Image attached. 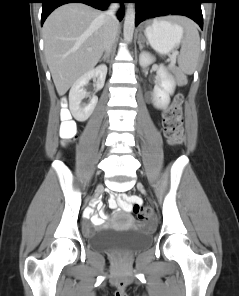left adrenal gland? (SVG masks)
<instances>
[{
  "label": "left adrenal gland",
  "mask_w": 239,
  "mask_h": 296,
  "mask_svg": "<svg viewBox=\"0 0 239 296\" xmlns=\"http://www.w3.org/2000/svg\"><path fill=\"white\" fill-rule=\"evenodd\" d=\"M138 44H139V48L142 49V48H143V45H142V41H141L140 38H139V40H138Z\"/></svg>",
  "instance_id": "1"
}]
</instances>
